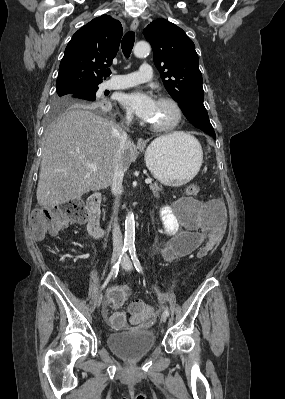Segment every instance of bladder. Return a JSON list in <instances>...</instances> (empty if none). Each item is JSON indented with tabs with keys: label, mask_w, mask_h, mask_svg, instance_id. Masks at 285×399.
Masks as SVG:
<instances>
[{
	"label": "bladder",
	"mask_w": 285,
	"mask_h": 399,
	"mask_svg": "<svg viewBox=\"0 0 285 399\" xmlns=\"http://www.w3.org/2000/svg\"><path fill=\"white\" fill-rule=\"evenodd\" d=\"M195 201L180 198L175 201L178 210L187 209ZM108 348L118 357L125 360H135L152 352L156 345L153 331L139 330L130 332H111L106 338Z\"/></svg>",
	"instance_id": "bladder-1"
}]
</instances>
